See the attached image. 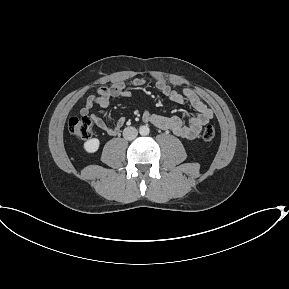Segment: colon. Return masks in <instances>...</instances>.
<instances>
[{
    "label": "colon",
    "mask_w": 289,
    "mask_h": 289,
    "mask_svg": "<svg viewBox=\"0 0 289 289\" xmlns=\"http://www.w3.org/2000/svg\"><path fill=\"white\" fill-rule=\"evenodd\" d=\"M69 132L79 140H86L93 133V123L88 117H72L68 122ZM215 137V128L213 125H207L202 132V139L210 142Z\"/></svg>",
    "instance_id": "1"
}]
</instances>
